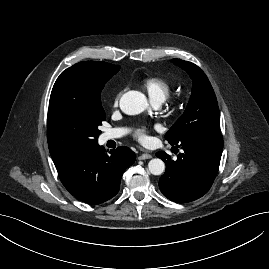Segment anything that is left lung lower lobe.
<instances>
[{"instance_id": "0a47b994", "label": "left lung lower lobe", "mask_w": 269, "mask_h": 269, "mask_svg": "<svg viewBox=\"0 0 269 269\" xmlns=\"http://www.w3.org/2000/svg\"><path fill=\"white\" fill-rule=\"evenodd\" d=\"M184 153L172 160L165 152L156 156L166 164L159 180L160 191L168 199L185 203L202 197L218 172L223 150L221 132H200L180 143Z\"/></svg>"}]
</instances>
